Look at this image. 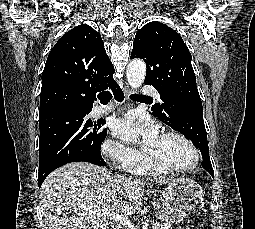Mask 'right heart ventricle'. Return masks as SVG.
Listing matches in <instances>:
<instances>
[{
	"label": "right heart ventricle",
	"mask_w": 255,
	"mask_h": 229,
	"mask_svg": "<svg viewBox=\"0 0 255 229\" xmlns=\"http://www.w3.org/2000/svg\"><path fill=\"white\" fill-rule=\"evenodd\" d=\"M124 168L134 174H152V173H160V171L153 169L150 167L142 157L137 158L136 160L128 163L124 166Z\"/></svg>",
	"instance_id": "e07e8e85"
}]
</instances>
